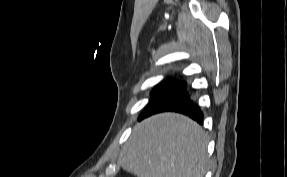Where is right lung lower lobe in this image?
Instances as JSON below:
<instances>
[{
  "label": "right lung lower lobe",
  "mask_w": 287,
  "mask_h": 177,
  "mask_svg": "<svg viewBox=\"0 0 287 177\" xmlns=\"http://www.w3.org/2000/svg\"><path fill=\"white\" fill-rule=\"evenodd\" d=\"M146 110L139 116V120L164 111H175L201 123L203 113L189 96L187 85L176 78L169 77L158 84L151 92Z\"/></svg>",
  "instance_id": "obj_1"
}]
</instances>
